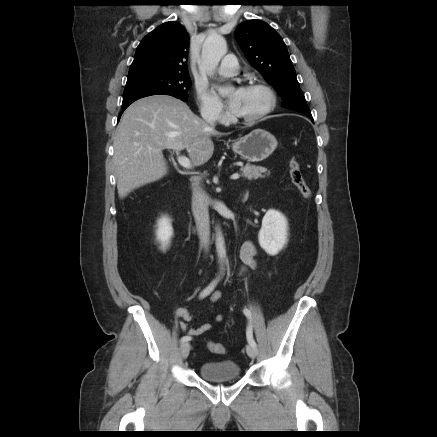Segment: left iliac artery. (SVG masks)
Instances as JSON below:
<instances>
[{
    "instance_id": "obj_1",
    "label": "left iliac artery",
    "mask_w": 437,
    "mask_h": 437,
    "mask_svg": "<svg viewBox=\"0 0 437 437\" xmlns=\"http://www.w3.org/2000/svg\"><path fill=\"white\" fill-rule=\"evenodd\" d=\"M243 312H244L245 316L249 319V325H248L247 331H246V336H247L248 343L251 346L256 348L257 345H256V342H255V340L253 338V333H252V323H251L252 314H251L250 310H248L246 308L243 310Z\"/></svg>"
}]
</instances>
